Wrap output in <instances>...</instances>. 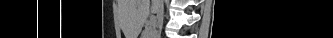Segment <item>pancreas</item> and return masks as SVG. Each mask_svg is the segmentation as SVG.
<instances>
[{"label": "pancreas", "instance_id": "obj_1", "mask_svg": "<svg viewBox=\"0 0 333 38\" xmlns=\"http://www.w3.org/2000/svg\"><path fill=\"white\" fill-rule=\"evenodd\" d=\"M152 35L155 36V27L152 25L150 28H147L144 32L145 38H152Z\"/></svg>", "mask_w": 333, "mask_h": 38}]
</instances>
